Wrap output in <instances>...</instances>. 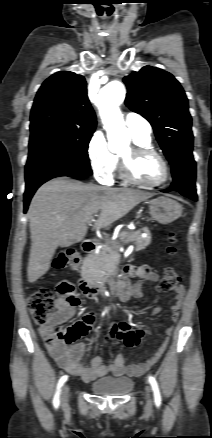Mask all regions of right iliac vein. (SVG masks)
<instances>
[{
	"label": "right iliac vein",
	"mask_w": 212,
	"mask_h": 438,
	"mask_svg": "<svg viewBox=\"0 0 212 438\" xmlns=\"http://www.w3.org/2000/svg\"><path fill=\"white\" fill-rule=\"evenodd\" d=\"M70 388L68 385H64L61 391V405L67 407L69 401Z\"/></svg>",
	"instance_id": "obj_1"
}]
</instances>
